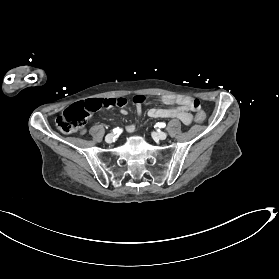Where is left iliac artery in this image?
Listing matches in <instances>:
<instances>
[{
  "label": "left iliac artery",
  "instance_id": "left-iliac-artery-1",
  "mask_svg": "<svg viewBox=\"0 0 279 279\" xmlns=\"http://www.w3.org/2000/svg\"><path fill=\"white\" fill-rule=\"evenodd\" d=\"M159 128H165L166 127V124L164 122H160V123H157V125Z\"/></svg>",
  "mask_w": 279,
  "mask_h": 279
}]
</instances>
